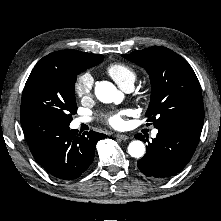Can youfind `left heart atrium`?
<instances>
[{
    "instance_id": "1",
    "label": "left heart atrium",
    "mask_w": 221,
    "mask_h": 221,
    "mask_svg": "<svg viewBox=\"0 0 221 221\" xmlns=\"http://www.w3.org/2000/svg\"><path fill=\"white\" fill-rule=\"evenodd\" d=\"M126 114V111L112 113L106 117V121L111 127L120 129L125 125L124 116Z\"/></svg>"
}]
</instances>
